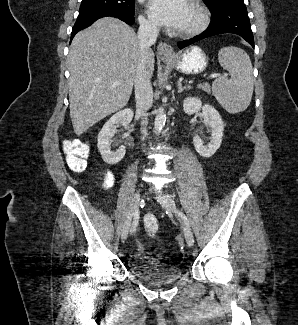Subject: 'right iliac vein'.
<instances>
[{"label": "right iliac vein", "mask_w": 298, "mask_h": 325, "mask_svg": "<svg viewBox=\"0 0 298 325\" xmlns=\"http://www.w3.org/2000/svg\"><path fill=\"white\" fill-rule=\"evenodd\" d=\"M139 203H140V191L137 190L130 202V207H129V211L128 214L126 216L122 231H121V239L124 242L127 237H128V232L130 230V226H131V222H132V218L136 212V210H138L139 207Z\"/></svg>", "instance_id": "1"}]
</instances>
